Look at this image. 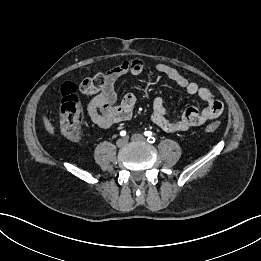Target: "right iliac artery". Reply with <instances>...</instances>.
I'll return each instance as SVG.
<instances>
[{
	"instance_id": "1",
	"label": "right iliac artery",
	"mask_w": 261,
	"mask_h": 261,
	"mask_svg": "<svg viewBox=\"0 0 261 261\" xmlns=\"http://www.w3.org/2000/svg\"><path fill=\"white\" fill-rule=\"evenodd\" d=\"M120 135H121L122 137L126 136V131H124V130L121 131V132H120Z\"/></svg>"
}]
</instances>
